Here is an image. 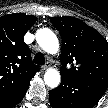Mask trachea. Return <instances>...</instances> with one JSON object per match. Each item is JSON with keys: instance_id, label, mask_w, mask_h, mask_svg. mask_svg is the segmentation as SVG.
<instances>
[{"instance_id": "3493384b", "label": "trachea", "mask_w": 108, "mask_h": 108, "mask_svg": "<svg viewBox=\"0 0 108 108\" xmlns=\"http://www.w3.org/2000/svg\"><path fill=\"white\" fill-rule=\"evenodd\" d=\"M33 62H34L35 64H38V65H43V64H45V57H44V55H43L41 52H38V53L35 55V57H34V59H33Z\"/></svg>"}]
</instances>
